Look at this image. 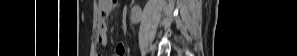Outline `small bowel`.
<instances>
[{"label":"small bowel","instance_id":"1","mask_svg":"<svg viewBox=\"0 0 297 56\" xmlns=\"http://www.w3.org/2000/svg\"><path fill=\"white\" fill-rule=\"evenodd\" d=\"M100 20L98 26V41L101 45H106L108 42V30L106 24L107 16L113 11L116 6L115 0H100L99 3ZM125 53L124 44H119L116 47V55L122 56Z\"/></svg>","mask_w":297,"mask_h":56}]
</instances>
